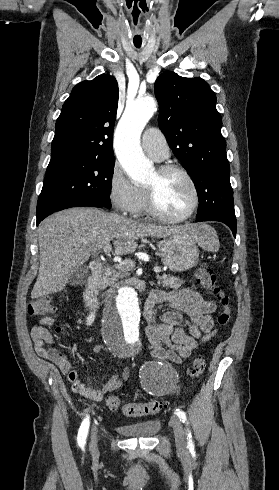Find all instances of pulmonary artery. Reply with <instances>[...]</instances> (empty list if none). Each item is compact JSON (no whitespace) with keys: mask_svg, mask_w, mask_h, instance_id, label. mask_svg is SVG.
<instances>
[{"mask_svg":"<svg viewBox=\"0 0 279 490\" xmlns=\"http://www.w3.org/2000/svg\"><path fill=\"white\" fill-rule=\"evenodd\" d=\"M142 147L146 154L156 161H162L169 155L165 137L156 127L147 128L142 135Z\"/></svg>","mask_w":279,"mask_h":490,"instance_id":"pulmonary-artery-1","label":"pulmonary artery"}]
</instances>
